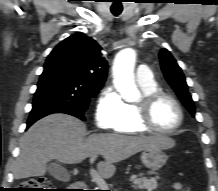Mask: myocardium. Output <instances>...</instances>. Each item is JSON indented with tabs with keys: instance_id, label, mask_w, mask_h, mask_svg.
Returning <instances> with one entry per match:
<instances>
[{
	"instance_id": "myocardium-1",
	"label": "myocardium",
	"mask_w": 218,
	"mask_h": 191,
	"mask_svg": "<svg viewBox=\"0 0 218 191\" xmlns=\"http://www.w3.org/2000/svg\"><path fill=\"white\" fill-rule=\"evenodd\" d=\"M166 98L170 100L177 108L179 113V121L176 126L170 129L158 128L152 118V110L155 103L161 99ZM138 121L142 127L148 131L160 133V134H173L177 132L183 125L184 122V110L181 103L171 94L161 91L154 90L151 92L143 93L140 100L136 103Z\"/></svg>"
}]
</instances>
